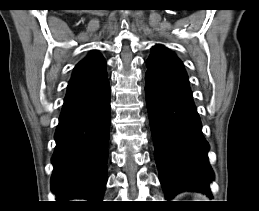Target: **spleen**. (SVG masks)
<instances>
[{
	"instance_id": "3e777b00",
	"label": "spleen",
	"mask_w": 259,
	"mask_h": 211,
	"mask_svg": "<svg viewBox=\"0 0 259 211\" xmlns=\"http://www.w3.org/2000/svg\"><path fill=\"white\" fill-rule=\"evenodd\" d=\"M194 201H208L207 197L203 194H195Z\"/></svg>"
}]
</instances>
